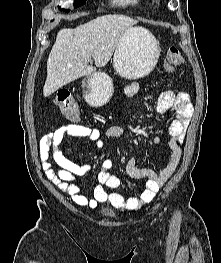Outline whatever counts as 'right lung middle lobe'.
Segmentation results:
<instances>
[{"label":"right lung middle lobe","mask_w":221,"mask_h":263,"mask_svg":"<svg viewBox=\"0 0 221 263\" xmlns=\"http://www.w3.org/2000/svg\"><path fill=\"white\" fill-rule=\"evenodd\" d=\"M85 3V0H76L74 3V7L77 8ZM63 11L68 12L69 10L63 9Z\"/></svg>","instance_id":"right-lung-middle-lobe-1"}]
</instances>
